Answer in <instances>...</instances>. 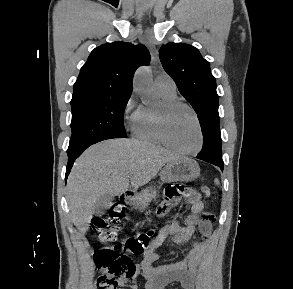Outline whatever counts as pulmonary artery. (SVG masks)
I'll use <instances>...</instances> for the list:
<instances>
[{"instance_id": "obj_1", "label": "pulmonary artery", "mask_w": 293, "mask_h": 289, "mask_svg": "<svg viewBox=\"0 0 293 289\" xmlns=\"http://www.w3.org/2000/svg\"><path fill=\"white\" fill-rule=\"evenodd\" d=\"M157 90L175 92L176 86L173 79L167 74L158 75L155 79Z\"/></svg>"}]
</instances>
